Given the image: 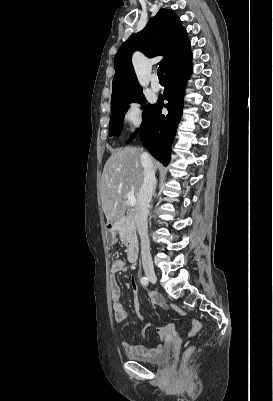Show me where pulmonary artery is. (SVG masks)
<instances>
[{"label": "pulmonary artery", "instance_id": "1", "mask_svg": "<svg viewBox=\"0 0 273 401\" xmlns=\"http://www.w3.org/2000/svg\"><path fill=\"white\" fill-rule=\"evenodd\" d=\"M151 86H152V90L158 91V90H159L160 83H159V81L154 80V81H152Z\"/></svg>", "mask_w": 273, "mask_h": 401}]
</instances>
